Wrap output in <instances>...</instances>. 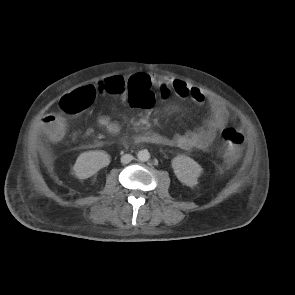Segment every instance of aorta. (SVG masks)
I'll use <instances>...</instances> for the list:
<instances>
[{"label":"aorta","instance_id":"1","mask_svg":"<svg viewBox=\"0 0 295 295\" xmlns=\"http://www.w3.org/2000/svg\"><path fill=\"white\" fill-rule=\"evenodd\" d=\"M137 157H138L139 161L146 162L150 159V153L146 149L140 150L137 154Z\"/></svg>","mask_w":295,"mask_h":295}]
</instances>
